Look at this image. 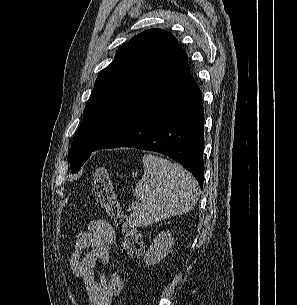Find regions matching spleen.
<instances>
[{
	"label": "spleen",
	"mask_w": 297,
	"mask_h": 305,
	"mask_svg": "<svg viewBox=\"0 0 297 305\" xmlns=\"http://www.w3.org/2000/svg\"><path fill=\"white\" fill-rule=\"evenodd\" d=\"M143 166V177L133 190V196L141 203L130 214L131 227L151 225L194 208L199 197L198 183L181 165L145 154Z\"/></svg>",
	"instance_id": "1"
}]
</instances>
